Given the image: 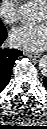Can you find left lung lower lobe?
Returning <instances> with one entry per match:
<instances>
[{"instance_id":"1","label":"left lung lower lobe","mask_w":47,"mask_h":129,"mask_svg":"<svg viewBox=\"0 0 47 129\" xmlns=\"http://www.w3.org/2000/svg\"><path fill=\"white\" fill-rule=\"evenodd\" d=\"M44 85H45V87H46V89H47V78L44 79Z\"/></svg>"}]
</instances>
